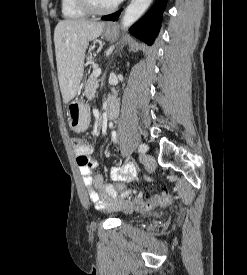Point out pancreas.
Wrapping results in <instances>:
<instances>
[{"mask_svg": "<svg viewBox=\"0 0 247 275\" xmlns=\"http://www.w3.org/2000/svg\"><path fill=\"white\" fill-rule=\"evenodd\" d=\"M99 81H98V78L97 76L95 75H91L86 83V86H85V95L88 99H92L96 93V89L98 88L99 86Z\"/></svg>", "mask_w": 247, "mask_h": 275, "instance_id": "1", "label": "pancreas"}]
</instances>
